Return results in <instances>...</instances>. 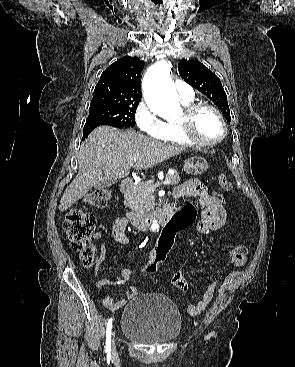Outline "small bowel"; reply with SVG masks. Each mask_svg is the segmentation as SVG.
Returning <instances> with one entry per match:
<instances>
[{
	"label": "small bowel",
	"mask_w": 295,
	"mask_h": 367,
	"mask_svg": "<svg viewBox=\"0 0 295 367\" xmlns=\"http://www.w3.org/2000/svg\"><path fill=\"white\" fill-rule=\"evenodd\" d=\"M186 195L194 197L198 200V206L200 209V220L197 224L198 232L203 236H209L212 232L222 228L226 222V212L221 205V200L217 196H213L211 192L204 186V184L198 179H189L178 185L174 190V196L178 199L184 198ZM196 213V212H195ZM128 220L124 217H117L112 224V235L119 243L126 244L129 241L127 236ZM106 254V248L103 246L100 251V255L95 261L94 271L98 274L99 268L104 261ZM150 265V264H149ZM240 266L239 264H236ZM219 271H217V274ZM131 271L124 269L121 273V277L115 280L98 279V285H113L121 286L131 279ZM173 283L180 289L186 290L187 283L185 277L181 272H176L172 279ZM217 287L216 282L208 284L201 300L188 307L190 315H199L202 313L208 304L213 299L215 290ZM138 295V290L135 287H130L126 296L122 299H115L112 296H107L103 299L102 304L111 312H116L123 307L127 301L133 299Z\"/></svg>",
	"instance_id": "obj_1"
}]
</instances>
